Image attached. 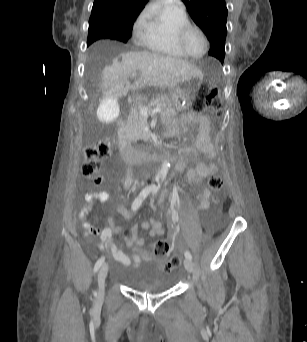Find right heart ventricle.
I'll list each match as a JSON object with an SVG mask.
<instances>
[{"label":"right heart ventricle","mask_w":307,"mask_h":342,"mask_svg":"<svg viewBox=\"0 0 307 342\" xmlns=\"http://www.w3.org/2000/svg\"><path fill=\"white\" fill-rule=\"evenodd\" d=\"M189 20H191V16L186 8L165 10L158 19L159 32L145 38L132 40V49L135 52L187 61L188 58L177 45V32L180 26Z\"/></svg>","instance_id":"e07e8e85"}]
</instances>
